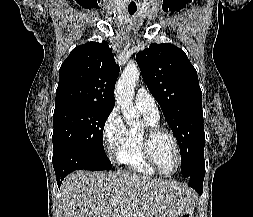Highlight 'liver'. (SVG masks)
<instances>
[{
	"mask_svg": "<svg viewBox=\"0 0 253 217\" xmlns=\"http://www.w3.org/2000/svg\"><path fill=\"white\" fill-rule=\"evenodd\" d=\"M64 217H176L191 190L130 172L71 173L61 184Z\"/></svg>",
	"mask_w": 253,
	"mask_h": 217,
	"instance_id": "obj_1",
	"label": "liver"
}]
</instances>
